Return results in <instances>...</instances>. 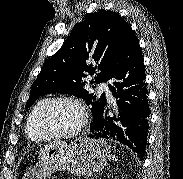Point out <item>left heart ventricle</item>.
Returning a JSON list of instances; mask_svg holds the SVG:
<instances>
[{
	"label": "left heart ventricle",
	"instance_id": "left-heart-ventricle-1",
	"mask_svg": "<svg viewBox=\"0 0 183 179\" xmlns=\"http://www.w3.org/2000/svg\"><path fill=\"white\" fill-rule=\"evenodd\" d=\"M80 119L81 113L76 105L58 102L47 112L44 126L51 133H66L76 128Z\"/></svg>",
	"mask_w": 183,
	"mask_h": 179
}]
</instances>
